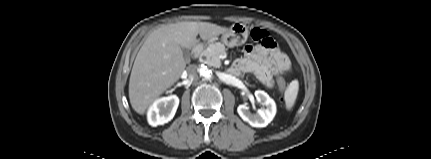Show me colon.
<instances>
[{"mask_svg": "<svg viewBox=\"0 0 431 159\" xmlns=\"http://www.w3.org/2000/svg\"><path fill=\"white\" fill-rule=\"evenodd\" d=\"M250 35H251V38L257 43L269 44V41H270L269 33L264 29L254 28L252 29ZM277 85L280 91V103H284V92L286 90V82L283 78H278Z\"/></svg>", "mask_w": 431, "mask_h": 159, "instance_id": "colon-1", "label": "colon"}]
</instances>
